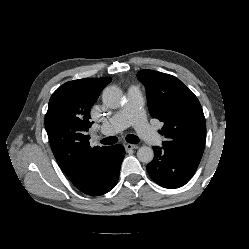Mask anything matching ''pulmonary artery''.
I'll use <instances>...</instances> for the list:
<instances>
[{
    "label": "pulmonary artery",
    "instance_id": "obj_1",
    "mask_svg": "<svg viewBox=\"0 0 249 249\" xmlns=\"http://www.w3.org/2000/svg\"><path fill=\"white\" fill-rule=\"evenodd\" d=\"M143 96L139 87L130 86L122 108L100 126V134L114 135L128 126H133L138 134L149 144L159 145L161 136L149 126L143 110Z\"/></svg>",
    "mask_w": 249,
    "mask_h": 249
}]
</instances>
